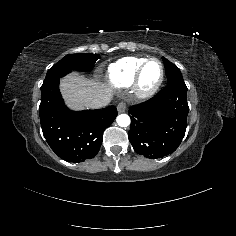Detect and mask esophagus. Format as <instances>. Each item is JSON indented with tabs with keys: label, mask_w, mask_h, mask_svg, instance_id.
<instances>
[{
	"label": "esophagus",
	"mask_w": 236,
	"mask_h": 236,
	"mask_svg": "<svg viewBox=\"0 0 236 236\" xmlns=\"http://www.w3.org/2000/svg\"><path fill=\"white\" fill-rule=\"evenodd\" d=\"M117 110L119 113H123L125 112L126 110V105L124 102H120L118 105H117Z\"/></svg>",
	"instance_id": "obj_1"
}]
</instances>
